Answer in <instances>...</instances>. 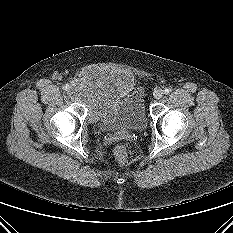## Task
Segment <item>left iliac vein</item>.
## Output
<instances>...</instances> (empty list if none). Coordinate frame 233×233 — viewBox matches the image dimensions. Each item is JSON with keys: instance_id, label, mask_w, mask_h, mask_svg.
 <instances>
[{"instance_id": "obj_1", "label": "left iliac vein", "mask_w": 233, "mask_h": 233, "mask_svg": "<svg viewBox=\"0 0 233 233\" xmlns=\"http://www.w3.org/2000/svg\"><path fill=\"white\" fill-rule=\"evenodd\" d=\"M162 96H163V91L162 90H157V91H155V93H154V98L155 99H161L162 98Z\"/></svg>"}]
</instances>
